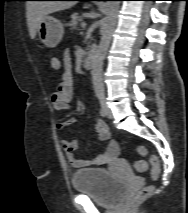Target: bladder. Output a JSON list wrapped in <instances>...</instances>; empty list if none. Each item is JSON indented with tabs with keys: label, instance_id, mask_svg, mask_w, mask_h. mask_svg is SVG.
Instances as JSON below:
<instances>
[{
	"label": "bladder",
	"instance_id": "1",
	"mask_svg": "<svg viewBox=\"0 0 188 213\" xmlns=\"http://www.w3.org/2000/svg\"><path fill=\"white\" fill-rule=\"evenodd\" d=\"M71 182L75 190L102 206H113L128 190L125 180L113 177L102 168L77 170L72 173Z\"/></svg>",
	"mask_w": 188,
	"mask_h": 213
}]
</instances>
